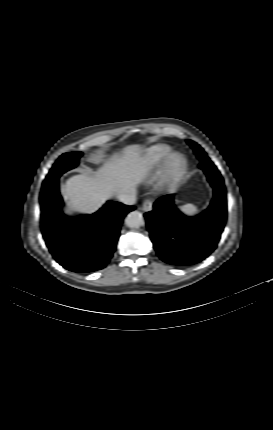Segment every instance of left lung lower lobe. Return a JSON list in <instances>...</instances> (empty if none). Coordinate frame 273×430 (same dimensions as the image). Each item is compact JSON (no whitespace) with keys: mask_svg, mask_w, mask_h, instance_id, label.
Returning <instances> with one entry per match:
<instances>
[{"mask_svg":"<svg viewBox=\"0 0 273 430\" xmlns=\"http://www.w3.org/2000/svg\"><path fill=\"white\" fill-rule=\"evenodd\" d=\"M214 189L209 208L196 217L184 216L173 204V195L163 196L145 214L154 248L159 257L174 266H189L208 257L217 247L227 215L226 191L220 172L210 159L201 161Z\"/></svg>","mask_w":273,"mask_h":430,"instance_id":"left-lung-lower-lobe-1","label":"left lung lower lobe"}]
</instances>
